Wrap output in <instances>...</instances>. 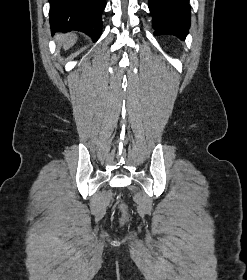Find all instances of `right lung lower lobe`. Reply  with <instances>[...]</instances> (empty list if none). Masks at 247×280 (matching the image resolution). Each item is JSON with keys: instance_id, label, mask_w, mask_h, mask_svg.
Instances as JSON below:
<instances>
[{"instance_id": "1", "label": "right lung lower lobe", "mask_w": 247, "mask_h": 280, "mask_svg": "<svg viewBox=\"0 0 247 280\" xmlns=\"http://www.w3.org/2000/svg\"><path fill=\"white\" fill-rule=\"evenodd\" d=\"M51 32L81 31L97 41L105 0H49Z\"/></svg>"}]
</instances>
